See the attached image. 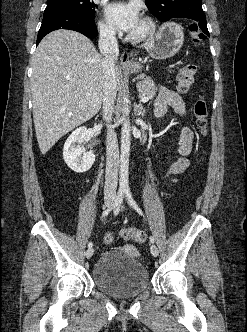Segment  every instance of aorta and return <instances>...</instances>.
Masks as SVG:
<instances>
[{"mask_svg": "<svg viewBox=\"0 0 247 332\" xmlns=\"http://www.w3.org/2000/svg\"><path fill=\"white\" fill-rule=\"evenodd\" d=\"M122 129H121V158H120V189H128V171L130 156V123L128 110L123 108Z\"/></svg>", "mask_w": 247, "mask_h": 332, "instance_id": "762f6f07", "label": "aorta"}]
</instances>
